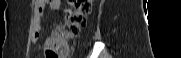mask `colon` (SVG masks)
Segmentation results:
<instances>
[{"mask_svg": "<svg viewBox=\"0 0 181 58\" xmlns=\"http://www.w3.org/2000/svg\"><path fill=\"white\" fill-rule=\"evenodd\" d=\"M65 12V23L60 31L46 41V58H66V39L79 34L91 11V0H69Z\"/></svg>", "mask_w": 181, "mask_h": 58, "instance_id": "colon-1", "label": "colon"}]
</instances>
